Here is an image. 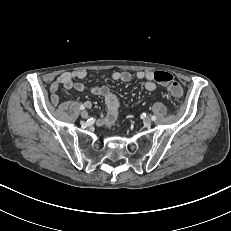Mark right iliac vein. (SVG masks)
Listing matches in <instances>:
<instances>
[{
  "label": "right iliac vein",
  "instance_id": "obj_1",
  "mask_svg": "<svg viewBox=\"0 0 231 231\" xmlns=\"http://www.w3.org/2000/svg\"><path fill=\"white\" fill-rule=\"evenodd\" d=\"M81 117L84 118V119L88 118V112L86 110H83L81 112Z\"/></svg>",
  "mask_w": 231,
  "mask_h": 231
}]
</instances>
